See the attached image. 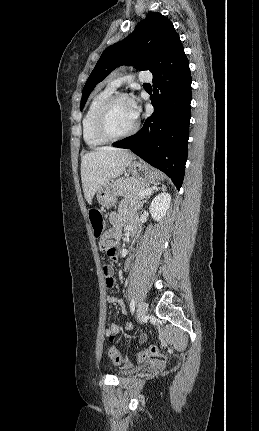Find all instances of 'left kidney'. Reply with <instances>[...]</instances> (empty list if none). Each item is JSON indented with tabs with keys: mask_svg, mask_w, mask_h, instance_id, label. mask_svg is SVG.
<instances>
[{
	"mask_svg": "<svg viewBox=\"0 0 259 431\" xmlns=\"http://www.w3.org/2000/svg\"><path fill=\"white\" fill-rule=\"evenodd\" d=\"M170 202L171 196L169 193H166L165 190L152 200L149 211L154 220L160 221L166 215Z\"/></svg>",
	"mask_w": 259,
	"mask_h": 431,
	"instance_id": "1",
	"label": "left kidney"
}]
</instances>
